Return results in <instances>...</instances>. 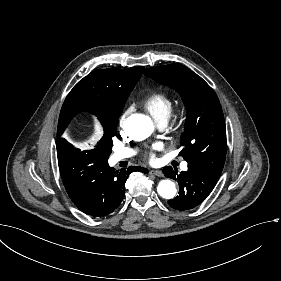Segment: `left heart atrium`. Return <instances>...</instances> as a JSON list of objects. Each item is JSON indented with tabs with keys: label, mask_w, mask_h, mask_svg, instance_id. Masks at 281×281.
I'll use <instances>...</instances> for the list:
<instances>
[{
	"label": "left heart atrium",
	"mask_w": 281,
	"mask_h": 281,
	"mask_svg": "<svg viewBox=\"0 0 281 281\" xmlns=\"http://www.w3.org/2000/svg\"><path fill=\"white\" fill-rule=\"evenodd\" d=\"M146 155H147L149 161L156 162V160H157L156 159V155H155V153L153 151L146 152Z\"/></svg>",
	"instance_id": "obj_1"
}]
</instances>
